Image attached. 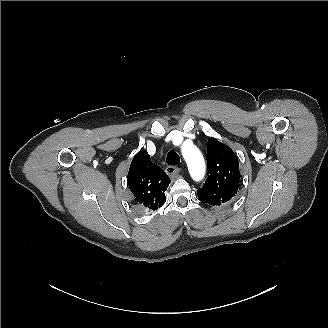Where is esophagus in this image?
I'll list each match as a JSON object with an SVG mask.
<instances>
[{
	"label": "esophagus",
	"mask_w": 328,
	"mask_h": 328,
	"mask_svg": "<svg viewBox=\"0 0 328 328\" xmlns=\"http://www.w3.org/2000/svg\"><path fill=\"white\" fill-rule=\"evenodd\" d=\"M165 172L170 176V177H175L176 175L179 174L180 168L176 166H168L165 169Z\"/></svg>",
	"instance_id": "34e87169"
}]
</instances>
